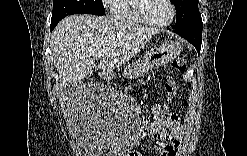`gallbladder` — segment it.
<instances>
[{"instance_id":"bac80fb5","label":"gallbladder","mask_w":247,"mask_h":156,"mask_svg":"<svg viewBox=\"0 0 247 156\" xmlns=\"http://www.w3.org/2000/svg\"><path fill=\"white\" fill-rule=\"evenodd\" d=\"M73 89V83L69 82L62 87L63 92L70 93Z\"/></svg>"}]
</instances>
